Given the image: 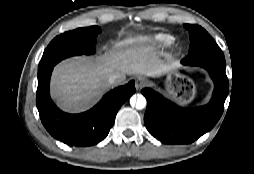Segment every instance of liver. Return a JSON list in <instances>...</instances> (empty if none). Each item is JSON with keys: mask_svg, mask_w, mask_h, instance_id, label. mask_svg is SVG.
<instances>
[{"mask_svg": "<svg viewBox=\"0 0 254 174\" xmlns=\"http://www.w3.org/2000/svg\"><path fill=\"white\" fill-rule=\"evenodd\" d=\"M157 53L148 39L128 36L107 54L98 57H74L64 60L54 68L51 95L57 105L66 112L87 110L110 87L108 79L126 75L152 76V62Z\"/></svg>", "mask_w": 254, "mask_h": 174, "instance_id": "liver-1", "label": "liver"}]
</instances>
